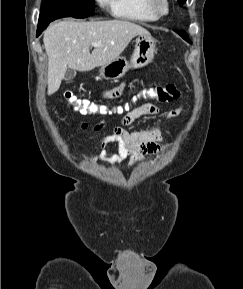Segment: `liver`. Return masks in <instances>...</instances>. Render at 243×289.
<instances>
[{"label": "liver", "mask_w": 243, "mask_h": 289, "mask_svg": "<svg viewBox=\"0 0 243 289\" xmlns=\"http://www.w3.org/2000/svg\"><path fill=\"white\" fill-rule=\"evenodd\" d=\"M148 31L125 20L59 21L44 32L48 56V95L55 93L67 68L80 72L106 65L120 56L130 41ZM92 43H101L90 53Z\"/></svg>", "instance_id": "6515ba94"}]
</instances>
